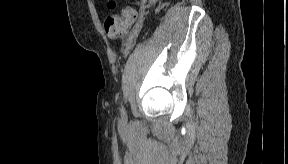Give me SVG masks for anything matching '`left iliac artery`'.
<instances>
[{"label": "left iliac artery", "mask_w": 288, "mask_h": 164, "mask_svg": "<svg viewBox=\"0 0 288 164\" xmlns=\"http://www.w3.org/2000/svg\"><path fill=\"white\" fill-rule=\"evenodd\" d=\"M121 116H122V119H123V120H126V119H127V114H126V111H125V109L123 108V106H122V109H121Z\"/></svg>", "instance_id": "obj_1"}]
</instances>
